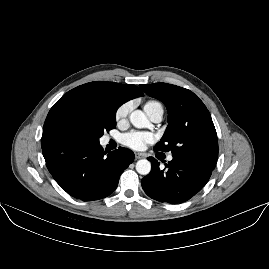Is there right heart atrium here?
Returning a JSON list of instances; mask_svg holds the SVG:
<instances>
[{
    "label": "right heart atrium",
    "mask_w": 269,
    "mask_h": 269,
    "mask_svg": "<svg viewBox=\"0 0 269 269\" xmlns=\"http://www.w3.org/2000/svg\"><path fill=\"white\" fill-rule=\"evenodd\" d=\"M132 109L131 102H125L120 105L115 111V121L119 124L127 119Z\"/></svg>",
    "instance_id": "1"
}]
</instances>
